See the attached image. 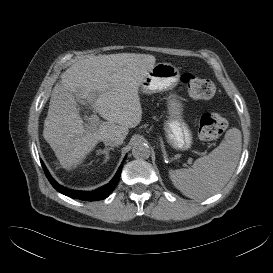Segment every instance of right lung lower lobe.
Instances as JSON below:
<instances>
[{"label": "right lung lower lobe", "instance_id": "obj_1", "mask_svg": "<svg viewBox=\"0 0 273 273\" xmlns=\"http://www.w3.org/2000/svg\"><path fill=\"white\" fill-rule=\"evenodd\" d=\"M43 169L45 171V174L48 178V180L50 181V183L52 184V186L59 191L60 193L69 196L73 199H79V200H83V201H96V200H102L107 198L110 193L114 190L115 186L117 185L119 179H120V174L122 171V166L124 161L122 162L121 166L119 167L117 173L115 174V176L113 177V179L106 185L94 190V191H78V190H71V189H67L63 186H61L60 184H58L50 175V173L48 172L46 166L44 165V163L41 161Z\"/></svg>", "mask_w": 273, "mask_h": 273}]
</instances>
